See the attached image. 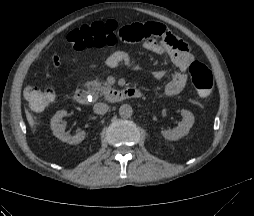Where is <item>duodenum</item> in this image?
Instances as JSON below:
<instances>
[{"mask_svg": "<svg viewBox=\"0 0 254 216\" xmlns=\"http://www.w3.org/2000/svg\"><path fill=\"white\" fill-rule=\"evenodd\" d=\"M141 93L138 89L127 88V89H112L105 94V98L109 102H118L127 98H139ZM91 98L90 92L85 88H79L75 91V100L82 105L89 103Z\"/></svg>", "mask_w": 254, "mask_h": 216, "instance_id": "1", "label": "duodenum"}]
</instances>
